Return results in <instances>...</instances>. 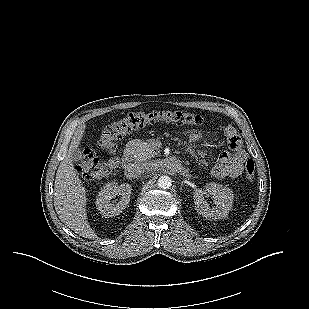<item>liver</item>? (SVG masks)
Segmentation results:
<instances>
[{"label": "liver", "instance_id": "6515ba94", "mask_svg": "<svg viewBox=\"0 0 309 309\" xmlns=\"http://www.w3.org/2000/svg\"><path fill=\"white\" fill-rule=\"evenodd\" d=\"M85 125L78 127L67 155L60 163L54 184V206L59 219L82 237L95 239L97 235L90 227L86 215V190L77 176L71 159V151L78 148Z\"/></svg>", "mask_w": 309, "mask_h": 309}]
</instances>
